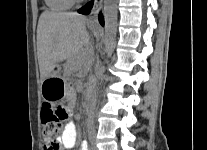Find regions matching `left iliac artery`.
<instances>
[{"label":"left iliac artery","instance_id":"left-iliac-artery-1","mask_svg":"<svg viewBox=\"0 0 207 150\" xmlns=\"http://www.w3.org/2000/svg\"><path fill=\"white\" fill-rule=\"evenodd\" d=\"M89 137H90V140L94 139V132H93V130L89 131Z\"/></svg>","mask_w":207,"mask_h":150}]
</instances>
